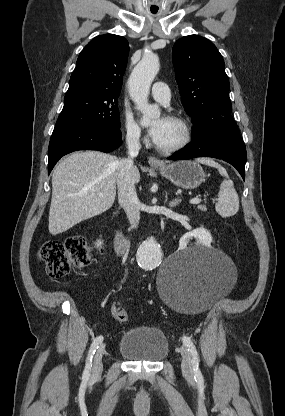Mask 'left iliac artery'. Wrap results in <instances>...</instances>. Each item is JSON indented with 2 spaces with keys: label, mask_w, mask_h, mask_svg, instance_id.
Here are the masks:
<instances>
[{
  "label": "left iliac artery",
  "mask_w": 285,
  "mask_h": 416,
  "mask_svg": "<svg viewBox=\"0 0 285 416\" xmlns=\"http://www.w3.org/2000/svg\"><path fill=\"white\" fill-rule=\"evenodd\" d=\"M183 343L188 347V351L192 356V366L194 370V378L196 380H203L202 373L199 368V356L196 350L195 345L193 344L192 340L189 337L183 336L182 337Z\"/></svg>",
  "instance_id": "left-iliac-artery-1"
}]
</instances>
